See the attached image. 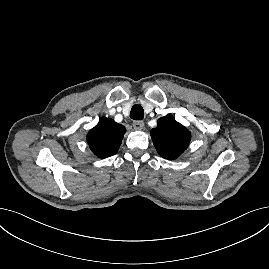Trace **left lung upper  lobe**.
Instances as JSON below:
<instances>
[{"mask_svg": "<svg viewBox=\"0 0 269 269\" xmlns=\"http://www.w3.org/2000/svg\"><path fill=\"white\" fill-rule=\"evenodd\" d=\"M151 137L159 155L174 160L187 149L191 135L171 114H168L158 119L157 127L151 130Z\"/></svg>", "mask_w": 269, "mask_h": 269, "instance_id": "1", "label": "left lung upper lobe"}]
</instances>
